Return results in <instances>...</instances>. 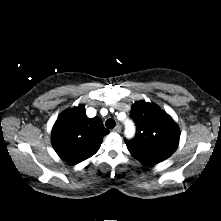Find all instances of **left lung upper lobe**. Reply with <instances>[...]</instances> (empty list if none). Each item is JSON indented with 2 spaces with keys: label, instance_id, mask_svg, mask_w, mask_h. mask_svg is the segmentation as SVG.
Returning <instances> with one entry per match:
<instances>
[{
  "label": "left lung upper lobe",
  "instance_id": "1",
  "mask_svg": "<svg viewBox=\"0 0 221 221\" xmlns=\"http://www.w3.org/2000/svg\"><path fill=\"white\" fill-rule=\"evenodd\" d=\"M137 131L125 143L131 155L150 165L169 158L177 149L180 132L173 119L159 107L144 101L136 102L130 112Z\"/></svg>",
  "mask_w": 221,
  "mask_h": 221
}]
</instances>
